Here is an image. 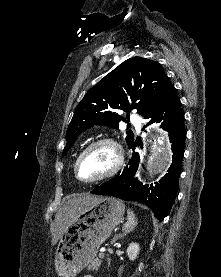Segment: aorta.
I'll use <instances>...</instances> for the list:
<instances>
[{"label":"aorta","instance_id":"762f6f07","mask_svg":"<svg viewBox=\"0 0 221 277\" xmlns=\"http://www.w3.org/2000/svg\"><path fill=\"white\" fill-rule=\"evenodd\" d=\"M151 156L148 160L149 176L163 173L171 164L172 150L167 137L163 134L161 140L152 146Z\"/></svg>","mask_w":221,"mask_h":277}]
</instances>
